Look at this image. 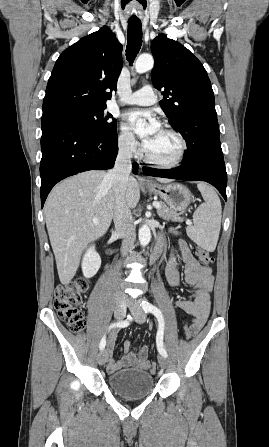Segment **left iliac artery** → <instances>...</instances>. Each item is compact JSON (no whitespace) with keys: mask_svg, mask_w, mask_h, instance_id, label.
I'll return each mask as SVG.
<instances>
[{"mask_svg":"<svg viewBox=\"0 0 269 447\" xmlns=\"http://www.w3.org/2000/svg\"><path fill=\"white\" fill-rule=\"evenodd\" d=\"M140 306L146 313L150 312V313L154 314V316L157 318L158 323H159V328H158V332H157V336H156L157 349L162 356L167 357V352L164 349V345H163V335H164V324L165 323H164V317H163L161 311L157 307H155L154 305L149 303L148 301H142Z\"/></svg>","mask_w":269,"mask_h":447,"instance_id":"44dca946","label":"left iliac artery"}]
</instances>
